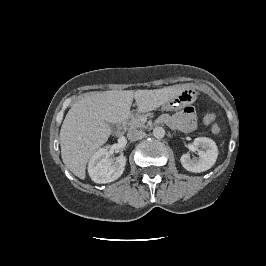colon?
<instances>
[{"mask_svg": "<svg viewBox=\"0 0 266 266\" xmlns=\"http://www.w3.org/2000/svg\"><path fill=\"white\" fill-rule=\"evenodd\" d=\"M203 121L207 125H211V130L213 133H219L220 132V127L214 123L215 121V115L214 114H206L203 118Z\"/></svg>", "mask_w": 266, "mask_h": 266, "instance_id": "5ec220e1", "label": "colon"}]
</instances>
